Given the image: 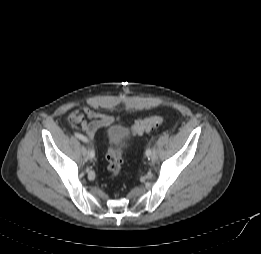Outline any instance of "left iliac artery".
Wrapping results in <instances>:
<instances>
[{"mask_svg":"<svg viewBox=\"0 0 261 254\" xmlns=\"http://www.w3.org/2000/svg\"><path fill=\"white\" fill-rule=\"evenodd\" d=\"M152 153L153 152L149 148L145 152L146 156L149 157V158H151Z\"/></svg>","mask_w":261,"mask_h":254,"instance_id":"obj_1","label":"left iliac artery"}]
</instances>
